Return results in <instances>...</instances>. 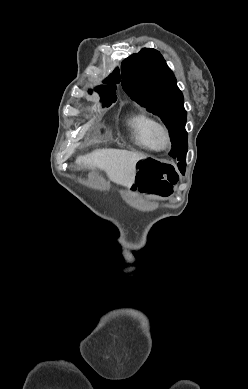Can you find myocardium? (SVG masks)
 <instances>
[{
  "instance_id": "f54148a6",
  "label": "myocardium",
  "mask_w": 248,
  "mask_h": 389,
  "mask_svg": "<svg viewBox=\"0 0 248 389\" xmlns=\"http://www.w3.org/2000/svg\"><path fill=\"white\" fill-rule=\"evenodd\" d=\"M151 141L155 150H164L170 146V135L168 129L157 124L152 132Z\"/></svg>"
}]
</instances>
